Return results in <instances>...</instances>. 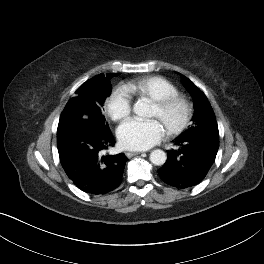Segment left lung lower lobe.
I'll use <instances>...</instances> for the list:
<instances>
[{
    "label": "left lung lower lobe",
    "instance_id": "left-lung-lower-lobe-1",
    "mask_svg": "<svg viewBox=\"0 0 264 264\" xmlns=\"http://www.w3.org/2000/svg\"><path fill=\"white\" fill-rule=\"evenodd\" d=\"M178 150H168L167 160L158 170L160 178L177 188L199 184L211 168L219 148V135L198 133L175 140Z\"/></svg>",
    "mask_w": 264,
    "mask_h": 264
}]
</instances>
